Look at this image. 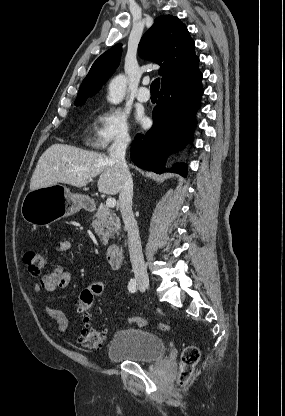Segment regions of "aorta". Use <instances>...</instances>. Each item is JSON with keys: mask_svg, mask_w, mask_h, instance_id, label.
<instances>
[{"mask_svg": "<svg viewBox=\"0 0 285 416\" xmlns=\"http://www.w3.org/2000/svg\"><path fill=\"white\" fill-rule=\"evenodd\" d=\"M126 93V77L122 74L116 76L109 84L108 100L113 104L122 102Z\"/></svg>", "mask_w": 285, "mask_h": 416, "instance_id": "762f6f07", "label": "aorta"}]
</instances>
